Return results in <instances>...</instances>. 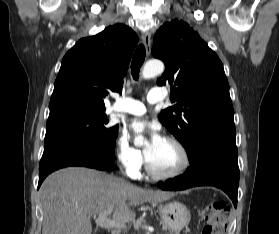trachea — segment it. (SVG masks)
Wrapping results in <instances>:
<instances>
[{
    "label": "trachea",
    "instance_id": "1",
    "mask_svg": "<svg viewBox=\"0 0 279 234\" xmlns=\"http://www.w3.org/2000/svg\"><path fill=\"white\" fill-rule=\"evenodd\" d=\"M145 54V47L142 44H140L133 55L131 63V74L135 80H138L139 78V72L145 60Z\"/></svg>",
    "mask_w": 279,
    "mask_h": 234
}]
</instances>
